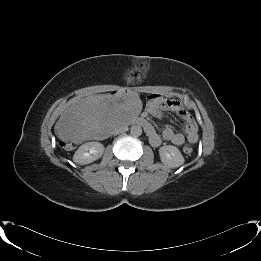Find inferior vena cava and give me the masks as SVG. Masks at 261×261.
<instances>
[{
    "mask_svg": "<svg viewBox=\"0 0 261 261\" xmlns=\"http://www.w3.org/2000/svg\"><path fill=\"white\" fill-rule=\"evenodd\" d=\"M128 130L127 125H121L113 130V134H120Z\"/></svg>",
    "mask_w": 261,
    "mask_h": 261,
    "instance_id": "602c4592",
    "label": "inferior vena cava"
}]
</instances>
